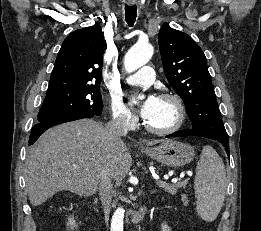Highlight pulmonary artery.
I'll return each mask as SVG.
<instances>
[{
  "label": "pulmonary artery",
  "instance_id": "obj_1",
  "mask_svg": "<svg viewBox=\"0 0 261 231\" xmlns=\"http://www.w3.org/2000/svg\"><path fill=\"white\" fill-rule=\"evenodd\" d=\"M154 79V69L150 66H143L136 73L128 77L127 81L132 84L146 86L152 84Z\"/></svg>",
  "mask_w": 261,
  "mask_h": 231
}]
</instances>
